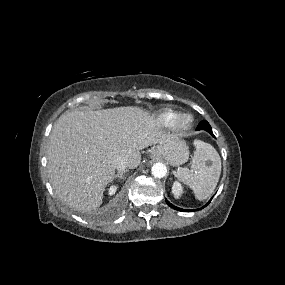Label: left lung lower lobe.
I'll use <instances>...</instances> for the list:
<instances>
[{
  "mask_svg": "<svg viewBox=\"0 0 285 285\" xmlns=\"http://www.w3.org/2000/svg\"><path fill=\"white\" fill-rule=\"evenodd\" d=\"M201 129H204V130L208 131L213 137H215V136L213 135L212 128H211V126L209 125V123H208L207 121L203 120V121H201V122L199 123V125H198V127H197V130H201ZM210 202H211V200H210L205 206H207ZM166 203H167L170 207H172L173 209H176V210H179V211H184V212H187V211H198V210H201L202 208L205 207V206H204V207H202V208H200V209H195V210H185V209H181V208H178V207L172 205L168 200H166Z\"/></svg>",
  "mask_w": 285,
  "mask_h": 285,
  "instance_id": "0a47b994",
  "label": "left lung lower lobe"
}]
</instances>
